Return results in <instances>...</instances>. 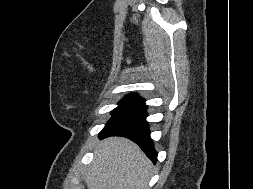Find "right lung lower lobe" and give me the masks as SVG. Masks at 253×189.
Segmentation results:
<instances>
[{"label": "right lung lower lobe", "mask_w": 253, "mask_h": 189, "mask_svg": "<svg viewBox=\"0 0 253 189\" xmlns=\"http://www.w3.org/2000/svg\"><path fill=\"white\" fill-rule=\"evenodd\" d=\"M144 102V100L137 101L115 112L100 132L99 137H127L137 143L155 164L157 161V152L150 138L148 123L146 121V105Z\"/></svg>", "instance_id": "obj_1"}]
</instances>
